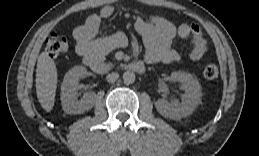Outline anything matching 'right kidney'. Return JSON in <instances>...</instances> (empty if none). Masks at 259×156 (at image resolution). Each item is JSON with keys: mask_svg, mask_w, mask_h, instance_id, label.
Listing matches in <instances>:
<instances>
[{"mask_svg": "<svg viewBox=\"0 0 259 156\" xmlns=\"http://www.w3.org/2000/svg\"><path fill=\"white\" fill-rule=\"evenodd\" d=\"M87 76V69L83 66H75L64 76L61 85L62 108L67 114H82L93 108L95 103V93L87 92L78 100L77 85L81 78Z\"/></svg>", "mask_w": 259, "mask_h": 156, "instance_id": "ca27d5eb", "label": "right kidney"}]
</instances>
